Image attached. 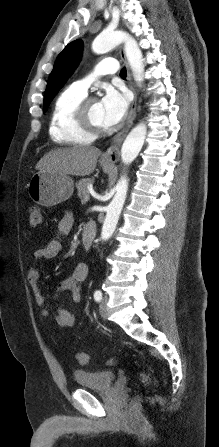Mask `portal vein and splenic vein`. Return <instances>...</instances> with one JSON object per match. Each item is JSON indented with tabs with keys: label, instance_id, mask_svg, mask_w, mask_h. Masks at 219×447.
Here are the masks:
<instances>
[{
	"label": "portal vein and splenic vein",
	"instance_id": "1",
	"mask_svg": "<svg viewBox=\"0 0 219 447\" xmlns=\"http://www.w3.org/2000/svg\"><path fill=\"white\" fill-rule=\"evenodd\" d=\"M89 199H90V196H89V194H87L83 197L82 202H87Z\"/></svg>",
	"mask_w": 219,
	"mask_h": 447
}]
</instances>
